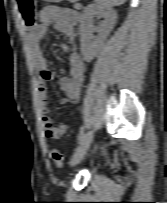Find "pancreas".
I'll return each mask as SVG.
<instances>
[{"instance_id": "pancreas-1", "label": "pancreas", "mask_w": 167, "mask_h": 203, "mask_svg": "<svg viewBox=\"0 0 167 203\" xmlns=\"http://www.w3.org/2000/svg\"><path fill=\"white\" fill-rule=\"evenodd\" d=\"M71 3H76L78 0H69ZM76 9H80V6L78 4H75Z\"/></svg>"}]
</instances>
